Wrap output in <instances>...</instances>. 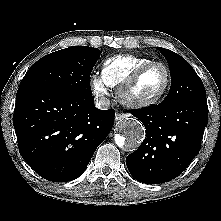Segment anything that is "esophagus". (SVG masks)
Masks as SVG:
<instances>
[{
	"label": "esophagus",
	"instance_id": "obj_1",
	"mask_svg": "<svg viewBox=\"0 0 221 221\" xmlns=\"http://www.w3.org/2000/svg\"><path fill=\"white\" fill-rule=\"evenodd\" d=\"M126 117H128L127 113L117 112L116 115H115V120L118 121V120L124 119Z\"/></svg>",
	"mask_w": 221,
	"mask_h": 221
}]
</instances>
